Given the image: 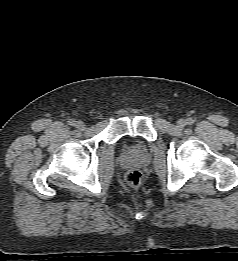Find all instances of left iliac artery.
Masks as SVG:
<instances>
[{
	"label": "left iliac artery",
	"instance_id": "44dca946",
	"mask_svg": "<svg viewBox=\"0 0 238 261\" xmlns=\"http://www.w3.org/2000/svg\"><path fill=\"white\" fill-rule=\"evenodd\" d=\"M193 123H194V120L192 118H188L186 120V124H188V125H192Z\"/></svg>",
	"mask_w": 238,
	"mask_h": 261
}]
</instances>
